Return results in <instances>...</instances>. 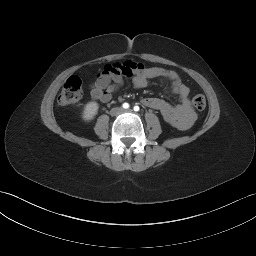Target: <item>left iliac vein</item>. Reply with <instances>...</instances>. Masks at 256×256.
I'll return each instance as SVG.
<instances>
[{"label":"left iliac vein","mask_w":256,"mask_h":256,"mask_svg":"<svg viewBox=\"0 0 256 256\" xmlns=\"http://www.w3.org/2000/svg\"><path fill=\"white\" fill-rule=\"evenodd\" d=\"M131 111H132L131 109L126 110V112H131Z\"/></svg>","instance_id":"left-iliac-vein-1"}]
</instances>
